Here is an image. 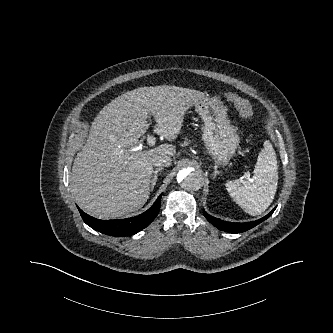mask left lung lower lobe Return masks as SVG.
<instances>
[{
    "mask_svg": "<svg viewBox=\"0 0 333 333\" xmlns=\"http://www.w3.org/2000/svg\"><path fill=\"white\" fill-rule=\"evenodd\" d=\"M274 210L275 209H273L268 215H266L265 217H263L261 219H258L256 221H252V222H247V223L226 222V221H223L218 218L210 216L204 210H203V214L210 223H212L214 226H216L220 230H223L226 232H231V233H240V232L249 230V229L255 227L256 225L260 224L264 220H266L274 212Z\"/></svg>",
    "mask_w": 333,
    "mask_h": 333,
    "instance_id": "1",
    "label": "left lung lower lobe"
}]
</instances>
